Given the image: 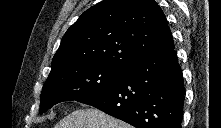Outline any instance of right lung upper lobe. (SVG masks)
<instances>
[{"instance_id": "obj_1", "label": "right lung upper lobe", "mask_w": 221, "mask_h": 128, "mask_svg": "<svg viewBox=\"0 0 221 128\" xmlns=\"http://www.w3.org/2000/svg\"><path fill=\"white\" fill-rule=\"evenodd\" d=\"M173 48L166 17L154 0H103L67 30L51 72L91 64L128 69Z\"/></svg>"}]
</instances>
